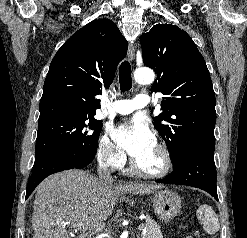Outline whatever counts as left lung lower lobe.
<instances>
[{"instance_id":"0a47b994","label":"left lung lower lobe","mask_w":247,"mask_h":238,"mask_svg":"<svg viewBox=\"0 0 247 238\" xmlns=\"http://www.w3.org/2000/svg\"><path fill=\"white\" fill-rule=\"evenodd\" d=\"M174 170L159 183L200 188L218 200L214 155L195 149L184 150Z\"/></svg>"}]
</instances>
